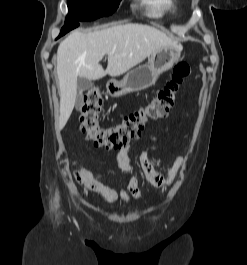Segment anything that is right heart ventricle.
I'll list each match as a JSON object with an SVG mask.
<instances>
[{
	"instance_id": "obj_1",
	"label": "right heart ventricle",
	"mask_w": 247,
	"mask_h": 265,
	"mask_svg": "<svg viewBox=\"0 0 247 265\" xmlns=\"http://www.w3.org/2000/svg\"><path fill=\"white\" fill-rule=\"evenodd\" d=\"M150 15L160 17L172 12L175 8L174 0H141Z\"/></svg>"
}]
</instances>
